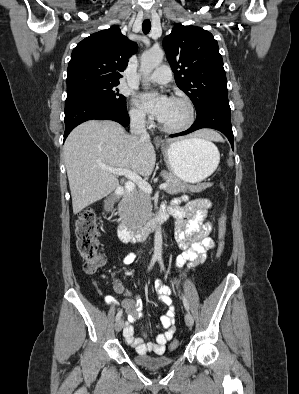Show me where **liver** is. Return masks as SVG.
<instances>
[{
    "label": "liver",
    "mask_w": 299,
    "mask_h": 394,
    "mask_svg": "<svg viewBox=\"0 0 299 394\" xmlns=\"http://www.w3.org/2000/svg\"><path fill=\"white\" fill-rule=\"evenodd\" d=\"M193 136L221 140L220 135L211 130H200ZM176 140L168 139L167 142ZM63 150L74 214L119 186L116 175L103 169L104 166L129 169L147 177L152 174L156 162L150 140L142 141L135 135H128L120 124L110 120L80 124L67 137Z\"/></svg>",
    "instance_id": "6515ba94"
}]
</instances>
